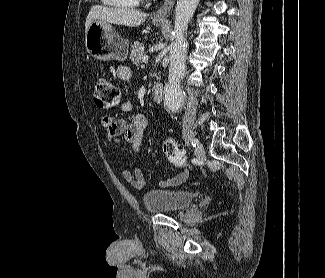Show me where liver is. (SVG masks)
<instances>
[{
  "label": "liver",
  "instance_id": "6515ba94",
  "mask_svg": "<svg viewBox=\"0 0 325 278\" xmlns=\"http://www.w3.org/2000/svg\"><path fill=\"white\" fill-rule=\"evenodd\" d=\"M146 18L147 14L139 10L95 5L90 9L86 18L85 33L94 21L137 27L143 23Z\"/></svg>",
  "mask_w": 325,
  "mask_h": 278
}]
</instances>
